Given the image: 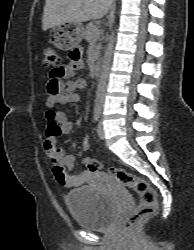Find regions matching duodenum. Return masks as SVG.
I'll list each match as a JSON object with an SVG mask.
<instances>
[{"label": "duodenum", "instance_id": "duodenum-1", "mask_svg": "<svg viewBox=\"0 0 194 250\" xmlns=\"http://www.w3.org/2000/svg\"><path fill=\"white\" fill-rule=\"evenodd\" d=\"M101 65H102V63H101L100 60L95 62L94 66H93V76H94V78H97L99 76L100 71H101Z\"/></svg>", "mask_w": 194, "mask_h": 250}]
</instances>
